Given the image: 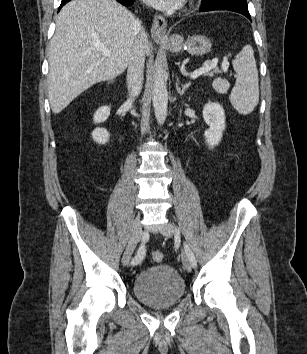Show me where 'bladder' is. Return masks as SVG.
Wrapping results in <instances>:
<instances>
[{
    "mask_svg": "<svg viewBox=\"0 0 307 354\" xmlns=\"http://www.w3.org/2000/svg\"><path fill=\"white\" fill-rule=\"evenodd\" d=\"M186 285L179 272L168 264L148 267L133 281V292L143 304L161 308L179 302L185 295Z\"/></svg>",
    "mask_w": 307,
    "mask_h": 354,
    "instance_id": "31cf9c89",
    "label": "bladder"
}]
</instances>
